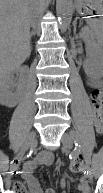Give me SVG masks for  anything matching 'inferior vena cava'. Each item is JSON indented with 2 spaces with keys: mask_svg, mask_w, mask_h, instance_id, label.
Segmentation results:
<instances>
[{
  "mask_svg": "<svg viewBox=\"0 0 103 193\" xmlns=\"http://www.w3.org/2000/svg\"><path fill=\"white\" fill-rule=\"evenodd\" d=\"M39 3H40V5H41V3H42V0H39Z\"/></svg>",
  "mask_w": 103,
  "mask_h": 193,
  "instance_id": "obj_1",
  "label": "inferior vena cava"
}]
</instances>
